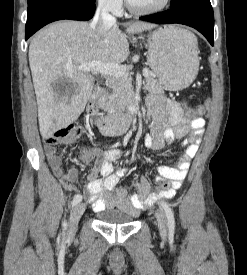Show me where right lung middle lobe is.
<instances>
[{
  "label": "right lung middle lobe",
  "instance_id": "1",
  "mask_svg": "<svg viewBox=\"0 0 247 275\" xmlns=\"http://www.w3.org/2000/svg\"><path fill=\"white\" fill-rule=\"evenodd\" d=\"M38 1H41V0H28V4H32V3H35V2H38ZM77 1L95 3L96 0H77Z\"/></svg>",
  "mask_w": 247,
  "mask_h": 275
}]
</instances>
